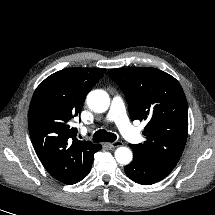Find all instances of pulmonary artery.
Masks as SVG:
<instances>
[{
    "label": "pulmonary artery",
    "mask_w": 215,
    "mask_h": 215,
    "mask_svg": "<svg viewBox=\"0 0 215 215\" xmlns=\"http://www.w3.org/2000/svg\"><path fill=\"white\" fill-rule=\"evenodd\" d=\"M106 120L114 122L122 135L130 142L137 143L141 140L140 133L129 122L124 102L120 96L113 97Z\"/></svg>",
    "instance_id": "pulmonary-artery-1"
}]
</instances>
